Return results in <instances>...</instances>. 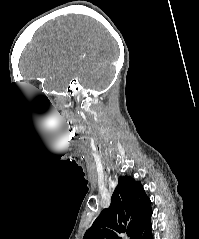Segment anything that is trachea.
<instances>
[{"label":"trachea","mask_w":199,"mask_h":239,"mask_svg":"<svg viewBox=\"0 0 199 239\" xmlns=\"http://www.w3.org/2000/svg\"><path fill=\"white\" fill-rule=\"evenodd\" d=\"M127 235L130 236V235H131V232H127Z\"/></svg>","instance_id":"trachea-1"}]
</instances>
